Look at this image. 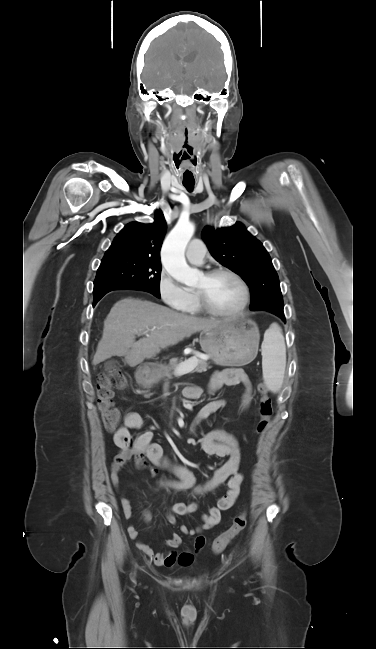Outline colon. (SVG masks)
Returning <instances> with one entry per match:
<instances>
[{
  "label": "colon",
  "instance_id": "5ec220e1",
  "mask_svg": "<svg viewBox=\"0 0 376 649\" xmlns=\"http://www.w3.org/2000/svg\"><path fill=\"white\" fill-rule=\"evenodd\" d=\"M128 387L126 377L114 371L102 374L97 387V405L104 424L108 431H114L120 421V411L113 405L115 390H124ZM260 399L258 404L259 420L256 425L257 433L263 435L270 427L272 405L268 396V389L264 383L258 385ZM247 515L245 512L237 515L228 530L221 534L213 543L215 553L222 552L227 545L236 538L246 527Z\"/></svg>",
  "mask_w": 376,
  "mask_h": 649
}]
</instances>
